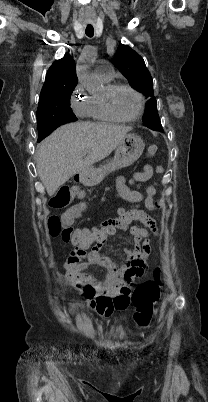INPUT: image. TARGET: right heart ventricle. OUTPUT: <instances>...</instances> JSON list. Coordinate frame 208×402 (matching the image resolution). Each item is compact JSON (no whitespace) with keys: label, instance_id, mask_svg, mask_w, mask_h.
Wrapping results in <instances>:
<instances>
[{"label":"right heart ventricle","instance_id":"1","mask_svg":"<svg viewBox=\"0 0 208 402\" xmlns=\"http://www.w3.org/2000/svg\"><path fill=\"white\" fill-rule=\"evenodd\" d=\"M103 80L106 83L104 90L100 93H93L91 96V108L89 113L90 123L95 126L116 125L121 121L111 115L105 100L106 90L113 85L111 84V80L105 78H103Z\"/></svg>","mask_w":208,"mask_h":402}]
</instances>
